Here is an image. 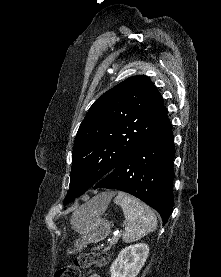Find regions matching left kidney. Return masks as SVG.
Returning <instances> with one entry per match:
<instances>
[{"mask_svg":"<svg viewBox=\"0 0 221 277\" xmlns=\"http://www.w3.org/2000/svg\"><path fill=\"white\" fill-rule=\"evenodd\" d=\"M149 253L145 243H137L122 249L111 265V277H136Z\"/></svg>","mask_w":221,"mask_h":277,"instance_id":"1","label":"left kidney"}]
</instances>
